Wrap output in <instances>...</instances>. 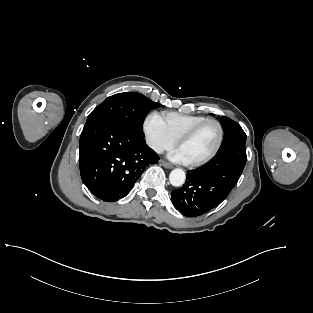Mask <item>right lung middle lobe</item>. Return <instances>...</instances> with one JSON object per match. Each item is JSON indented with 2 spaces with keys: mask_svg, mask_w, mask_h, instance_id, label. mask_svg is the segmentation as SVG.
Returning a JSON list of instances; mask_svg holds the SVG:
<instances>
[{
  "mask_svg": "<svg viewBox=\"0 0 313 313\" xmlns=\"http://www.w3.org/2000/svg\"><path fill=\"white\" fill-rule=\"evenodd\" d=\"M162 106L136 92H124L106 98L88 116L89 125L101 119L118 122L143 135V122L147 113Z\"/></svg>",
  "mask_w": 313,
  "mask_h": 313,
  "instance_id": "dd1d6c3e",
  "label": "right lung middle lobe"
}]
</instances>
